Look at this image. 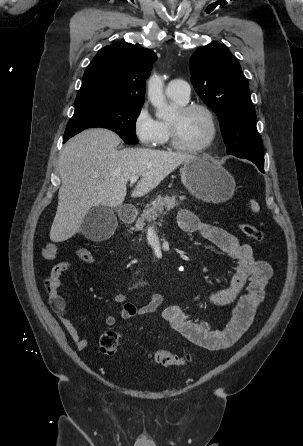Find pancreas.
Returning <instances> with one entry per match:
<instances>
[{
    "label": "pancreas",
    "mask_w": 303,
    "mask_h": 446,
    "mask_svg": "<svg viewBox=\"0 0 303 446\" xmlns=\"http://www.w3.org/2000/svg\"><path fill=\"white\" fill-rule=\"evenodd\" d=\"M179 199L182 201L185 199V196H180ZM178 204L176 195L158 196L146 206L145 210L136 221L135 229L143 230L146 225L155 222L158 217L167 214V212L174 209Z\"/></svg>",
    "instance_id": "1"
}]
</instances>
